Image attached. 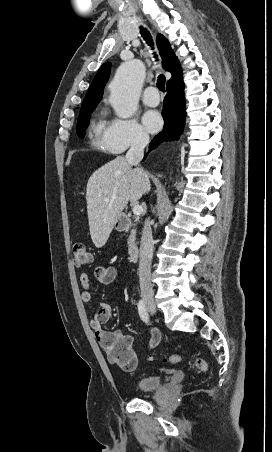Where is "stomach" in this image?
<instances>
[{
    "instance_id": "0dacf381",
    "label": "stomach",
    "mask_w": 272,
    "mask_h": 452,
    "mask_svg": "<svg viewBox=\"0 0 272 452\" xmlns=\"http://www.w3.org/2000/svg\"><path fill=\"white\" fill-rule=\"evenodd\" d=\"M116 225L118 226V228L122 227V220L121 217L117 220Z\"/></svg>"
}]
</instances>
